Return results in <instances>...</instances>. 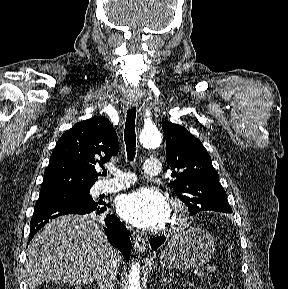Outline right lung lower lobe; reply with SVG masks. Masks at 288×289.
<instances>
[{
    "label": "right lung lower lobe",
    "instance_id": "1",
    "mask_svg": "<svg viewBox=\"0 0 288 289\" xmlns=\"http://www.w3.org/2000/svg\"><path fill=\"white\" fill-rule=\"evenodd\" d=\"M106 211V204L99 202L94 207H82L67 203H49L37 205L30 223L29 240L33 235L44 226L49 220L66 214H87L94 212L100 215ZM106 227L104 228L109 242L118 248L124 259L128 260L131 254L130 232L115 215L108 214L105 218Z\"/></svg>",
    "mask_w": 288,
    "mask_h": 289
}]
</instances>
